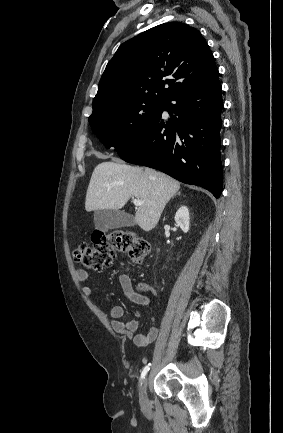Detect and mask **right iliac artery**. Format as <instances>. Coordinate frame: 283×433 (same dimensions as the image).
<instances>
[{
    "instance_id": "82829eb1",
    "label": "right iliac artery",
    "mask_w": 283,
    "mask_h": 433,
    "mask_svg": "<svg viewBox=\"0 0 283 433\" xmlns=\"http://www.w3.org/2000/svg\"><path fill=\"white\" fill-rule=\"evenodd\" d=\"M150 366H151V363H149L147 366L144 367V369H143V371L141 373V379H140V381H142L145 378V375L149 371Z\"/></svg>"
}]
</instances>
